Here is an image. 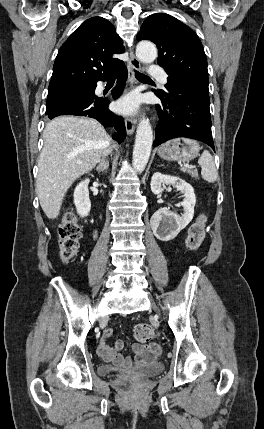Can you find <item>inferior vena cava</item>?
Returning a JSON list of instances; mask_svg holds the SVG:
<instances>
[{"label":"inferior vena cava","instance_id":"602c4592","mask_svg":"<svg viewBox=\"0 0 264 429\" xmlns=\"http://www.w3.org/2000/svg\"><path fill=\"white\" fill-rule=\"evenodd\" d=\"M109 152H110V150H108V151H107V154H108ZM107 154H106V155H107Z\"/></svg>","mask_w":264,"mask_h":429}]
</instances>
